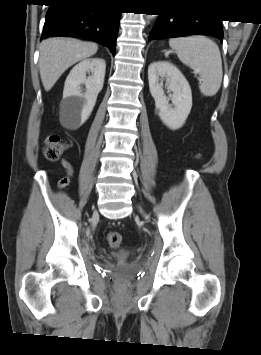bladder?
<instances>
[{"label": "bladder", "mask_w": 261, "mask_h": 355, "mask_svg": "<svg viewBox=\"0 0 261 355\" xmlns=\"http://www.w3.org/2000/svg\"><path fill=\"white\" fill-rule=\"evenodd\" d=\"M119 259H120L123 263H126L127 260H128V253L125 252V251H122V252L119 254Z\"/></svg>", "instance_id": "obj_1"}]
</instances>
